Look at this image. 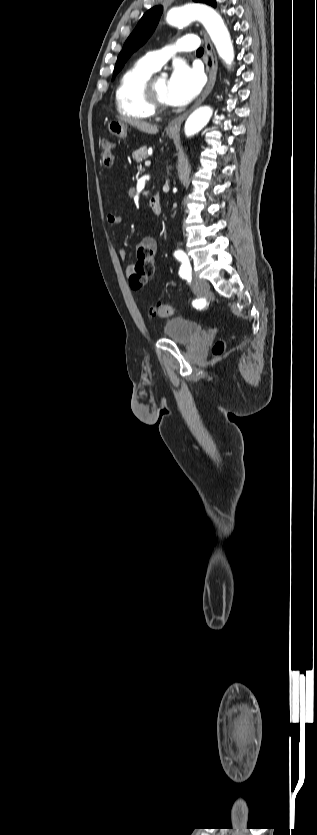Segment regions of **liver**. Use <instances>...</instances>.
Here are the masks:
<instances>
[{"mask_svg": "<svg viewBox=\"0 0 317 835\" xmlns=\"http://www.w3.org/2000/svg\"><path fill=\"white\" fill-rule=\"evenodd\" d=\"M130 125L137 128L139 131L147 133V134H156L158 132V127L156 125H152L146 121L141 120H126Z\"/></svg>", "mask_w": 317, "mask_h": 835, "instance_id": "obj_1", "label": "liver"}]
</instances>
